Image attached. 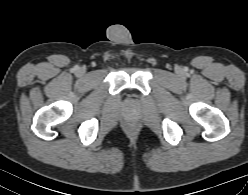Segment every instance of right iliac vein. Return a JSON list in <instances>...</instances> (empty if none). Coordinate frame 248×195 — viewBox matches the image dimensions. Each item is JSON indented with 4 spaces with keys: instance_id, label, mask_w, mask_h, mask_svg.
I'll list each match as a JSON object with an SVG mask.
<instances>
[{
    "instance_id": "1",
    "label": "right iliac vein",
    "mask_w": 248,
    "mask_h": 195,
    "mask_svg": "<svg viewBox=\"0 0 248 195\" xmlns=\"http://www.w3.org/2000/svg\"><path fill=\"white\" fill-rule=\"evenodd\" d=\"M80 72H81V73H84V70L81 69Z\"/></svg>"
}]
</instances>
